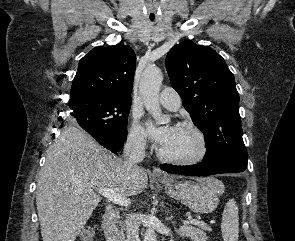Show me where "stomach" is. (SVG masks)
Segmentation results:
<instances>
[{
	"label": "stomach",
	"mask_w": 295,
	"mask_h": 241,
	"mask_svg": "<svg viewBox=\"0 0 295 241\" xmlns=\"http://www.w3.org/2000/svg\"><path fill=\"white\" fill-rule=\"evenodd\" d=\"M165 192L197 213L213 212L219 203L218 195L224 192L223 184L217 180L210 185L201 180L160 181Z\"/></svg>",
	"instance_id": "0dacf381"
}]
</instances>
